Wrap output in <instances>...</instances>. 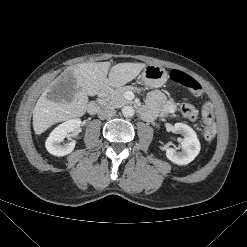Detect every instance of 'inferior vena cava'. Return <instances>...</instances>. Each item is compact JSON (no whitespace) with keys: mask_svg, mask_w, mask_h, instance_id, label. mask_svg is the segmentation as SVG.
<instances>
[{"mask_svg":"<svg viewBox=\"0 0 247 247\" xmlns=\"http://www.w3.org/2000/svg\"><path fill=\"white\" fill-rule=\"evenodd\" d=\"M116 115V110L113 108H104L99 111L98 117L100 119L111 118Z\"/></svg>","mask_w":247,"mask_h":247,"instance_id":"602c4592","label":"inferior vena cava"}]
</instances>
